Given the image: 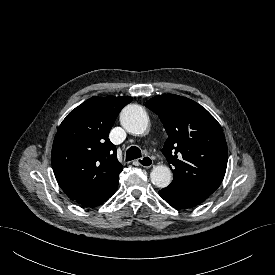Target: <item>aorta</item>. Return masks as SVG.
<instances>
[{"instance_id":"aorta-1","label":"aorta","mask_w":275,"mask_h":275,"mask_svg":"<svg viewBox=\"0 0 275 275\" xmlns=\"http://www.w3.org/2000/svg\"><path fill=\"white\" fill-rule=\"evenodd\" d=\"M122 127L136 135L146 133L149 119L146 111L137 104L127 105L120 114ZM150 179L153 185L158 188L167 187L172 180L171 170L167 166L159 165L152 169Z\"/></svg>"}]
</instances>
